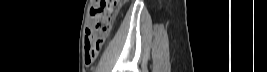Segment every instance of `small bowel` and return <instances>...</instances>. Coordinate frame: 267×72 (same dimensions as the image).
Wrapping results in <instances>:
<instances>
[{"label":"small bowel","mask_w":267,"mask_h":72,"mask_svg":"<svg viewBox=\"0 0 267 72\" xmlns=\"http://www.w3.org/2000/svg\"><path fill=\"white\" fill-rule=\"evenodd\" d=\"M85 62L87 63V64H91V62H92V60H90L89 58H88V55H87V53H86V42H85ZM97 57V56H96Z\"/></svg>","instance_id":"1"}]
</instances>
